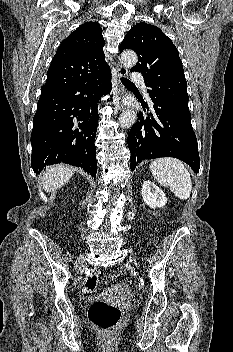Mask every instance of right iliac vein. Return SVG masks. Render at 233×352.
Masks as SVG:
<instances>
[{"mask_svg":"<svg viewBox=\"0 0 233 352\" xmlns=\"http://www.w3.org/2000/svg\"><path fill=\"white\" fill-rule=\"evenodd\" d=\"M84 262H85V259H84V256H83V255H81V256H79V257L77 258V260H76V269H77L78 271H81V269H82V267H83V265H84Z\"/></svg>","mask_w":233,"mask_h":352,"instance_id":"obj_1","label":"right iliac vein"}]
</instances>
